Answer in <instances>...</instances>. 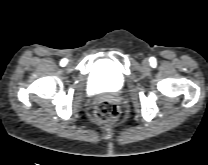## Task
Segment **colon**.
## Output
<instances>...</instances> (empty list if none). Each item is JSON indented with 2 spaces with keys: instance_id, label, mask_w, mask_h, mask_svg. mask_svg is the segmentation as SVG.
Returning <instances> with one entry per match:
<instances>
[{
  "instance_id": "colon-1",
  "label": "colon",
  "mask_w": 208,
  "mask_h": 165,
  "mask_svg": "<svg viewBox=\"0 0 208 165\" xmlns=\"http://www.w3.org/2000/svg\"><path fill=\"white\" fill-rule=\"evenodd\" d=\"M94 116L100 123L113 122L119 116V107L111 100H101L94 107Z\"/></svg>"
}]
</instances>
